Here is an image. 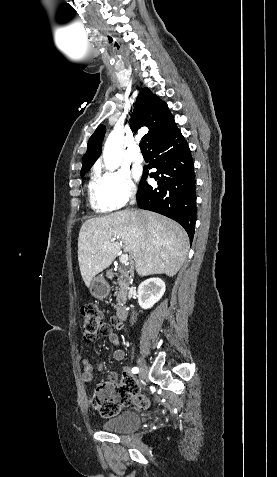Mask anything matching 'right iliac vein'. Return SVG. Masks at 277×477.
Masks as SVG:
<instances>
[{
    "mask_svg": "<svg viewBox=\"0 0 277 477\" xmlns=\"http://www.w3.org/2000/svg\"><path fill=\"white\" fill-rule=\"evenodd\" d=\"M139 375L142 379H145L148 373V368L145 361L141 358L138 359Z\"/></svg>",
    "mask_w": 277,
    "mask_h": 477,
    "instance_id": "obj_1",
    "label": "right iliac vein"
}]
</instances>
